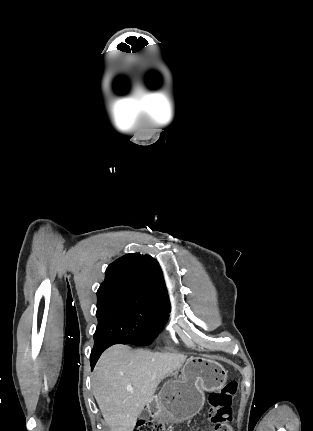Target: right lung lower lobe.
Returning <instances> with one entry per match:
<instances>
[{"label": "right lung lower lobe", "mask_w": 313, "mask_h": 431, "mask_svg": "<svg viewBox=\"0 0 313 431\" xmlns=\"http://www.w3.org/2000/svg\"><path fill=\"white\" fill-rule=\"evenodd\" d=\"M114 344H122L118 341H105V342H101L99 344H94V348L91 352V356H90V364H91V369L94 368L97 360L99 359L100 355L104 352V350H106L108 347L114 345Z\"/></svg>", "instance_id": "1"}]
</instances>
